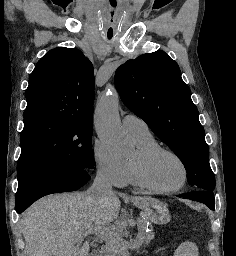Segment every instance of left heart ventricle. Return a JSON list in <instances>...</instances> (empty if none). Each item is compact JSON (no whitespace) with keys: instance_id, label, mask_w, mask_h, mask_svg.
Returning <instances> with one entry per match:
<instances>
[{"instance_id":"1","label":"left heart ventricle","mask_w":236,"mask_h":256,"mask_svg":"<svg viewBox=\"0 0 236 256\" xmlns=\"http://www.w3.org/2000/svg\"><path fill=\"white\" fill-rule=\"evenodd\" d=\"M149 175L158 186L174 187L182 182L184 171L175 157L169 154H159L149 164Z\"/></svg>"}]
</instances>
